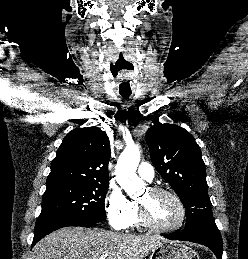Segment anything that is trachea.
I'll return each mask as SVG.
<instances>
[{
    "mask_svg": "<svg viewBox=\"0 0 248 259\" xmlns=\"http://www.w3.org/2000/svg\"><path fill=\"white\" fill-rule=\"evenodd\" d=\"M122 97L124 98H129V96L131 95V93H121Z\"/></svg>",
    "mask_w": 248,
    "mask_h": 259,
    "instance_id": "obj_1",
    "label": "trachea"
}]
</instances>
